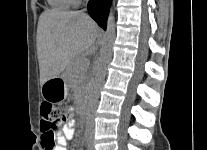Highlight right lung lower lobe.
I'll return each instance as SVG.
<instances>
[{
  "mask_svg": "<svg viewBox=\"0 0 207 150\" xmlns=\"http://www.w3.org/2000/svg\"><path fill=\"white\" fill-rule=\"evenodd\" d=\"M111 0H89L88 12L97 24L106 30L107 16Z\"/></svg>",
  "mask_w": 207,
  "mask_h": 150,
  "instance_id": "1",
  "label": "right lung lower lobe"
}]
</instances>
